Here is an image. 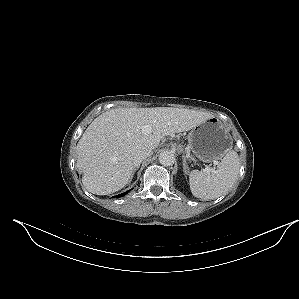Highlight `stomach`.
I'll list each match as a JSON object with an SVG mask.
<instances>
[{
	"mask_svg": "<svg viewBox=\"0 0 299 299\" xmlns=\"http://www.w3.org/2000/svg\"><path fill=\"white\" fill-rule=\"evenodd\" d=\"M188 143L197 161L222 159L232 148L228 130L215 117L195 126L188 134Z\"/></svg>",
	"mask_w": 299,
	"mask_h": 299,
	"instance_id": "1",
	"label": "stomach"
}]
</instances>
